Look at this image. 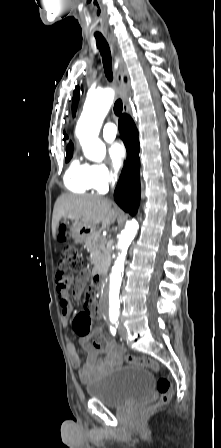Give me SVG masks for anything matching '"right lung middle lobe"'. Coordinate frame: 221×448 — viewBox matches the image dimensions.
<instances>
[{
  "label": "right lung middle lobe",
  "mask_w": 221,
  "mask_h": 448,
  "mask_svg": "<svg viewBox=\"0 0 221 448\" xmlns=\"http://www.w3.org/2000/svg\"><path fill=\"white\" fill-rule=\"evenodd\" d=\"M72 155H73L72 152L71 153H67L66 158H65V162H68L71 159Z\"/></svg>",
  "instance_id": "right-lung-middle-lobe-1"
}]
</instances>
